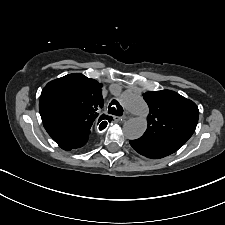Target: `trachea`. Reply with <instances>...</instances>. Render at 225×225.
<instances>
[{
  "mask_svg": "<svg viewBox=\"0 0 225 225\" xmlns=\"http://www.w3.org/2000/svg\"><path fill=\"white\" fill-rule=\"evenodd\" d=\"M108 113L115 116H122L123 108L116 100H113L108 107Z\"/></svg>",
  "mask_w": 225,
  "mask_h": 225,
  "instance_id": "obj_1",
  "label": "trachea"
}]
</instances>
